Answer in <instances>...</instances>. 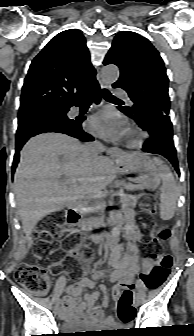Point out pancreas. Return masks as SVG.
Returning <instances> with one entry per match:
<instances>
[{
  "instance_id": "cf45deb5",
  "label": "pancreas",
  "mask_w": 194,
  "mask_h": 336,
  "mask_svg": "<svg viewBox=\"0 0 194 336\" xmlns=\"http://www.w3.org/2000/svg\"><path fill=\"white\" fill-rule=\"evenodd\" d=\"M126 189L127 194L119 196L121 201L117 202V205H120L118 206V209H120L121 211H132L134 209V206H136L140 190L138 189V186L135 185H128ZM102 207H104V204H102ZM98 224H101V221H98Z\"/></svg>"
}]
</instances>
